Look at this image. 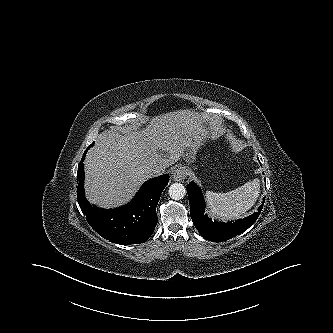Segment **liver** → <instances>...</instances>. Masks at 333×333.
Returning a JSON list of instances; mask_svg holds the SVG:
<instances>
[{
	"instance_id": "1",
	"label": "liver",
	"mask_w": 333,
	"mask_h": 333,
	"mask_svg": "<svg viewBox=\"0 0 333 333\" xmlns=\"http://www.w3.org/2000/svg\"><path fill=\"white\" fill-rule=\"evenodd\" d=\"M206 134L201 115L190 110L156 116L144 130L102 132L84 162L88 201L106 209L128 203L151 176L150 166L165 170L181 157L195 156Z\"/></svg>"
}]
</instances>
